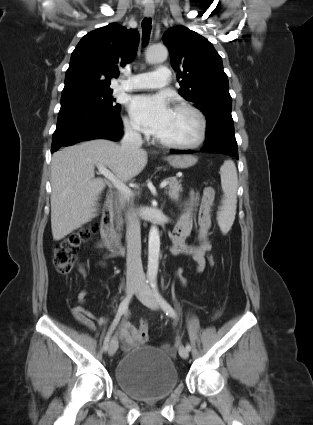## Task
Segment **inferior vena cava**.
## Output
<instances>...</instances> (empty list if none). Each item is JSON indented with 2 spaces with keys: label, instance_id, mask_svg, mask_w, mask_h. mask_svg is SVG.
<instances>
[{
  "label": "inferior vena cava",
  "instance_id": "602c4592",
  "mask_svg": "<svg viewBox=\"0 0 313 425\" xmlns=\"http://www.w3.org/2000/svg\"><path fill=\"white\" fill-rule=\"evenodd\" d=\"M142 137L130 126H125V134L121 141V149L126 152H135L142 146ZM126 240H127V283L144 282L145 275L141 261V232L140 220L134 209L126 214Z\"/></svg>",
  "mask_w": 313,
  "mask_h": 425
}]
</instances>
